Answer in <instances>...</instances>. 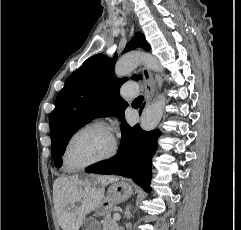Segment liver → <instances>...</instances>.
Masks as SVG:
<instances>
[{
    "instance_id": "1",
    "label": "liver",
    "mask_w": 241,
    "mask_h": 230,
    "mask_svg": "<svg viewBox=\"0 0 241 230\" xmlns=\"http://www.w3.org/2000/svg\"><path fill=\"white\" fill-rule=\"evenodd\" d=\"M118 180L115 176H98L94 182L80 181L77 176L57 178L53 184V199L62 229L78 230L85 216L103 199L105 186Z\"/></svg>"
}]
</instances>
